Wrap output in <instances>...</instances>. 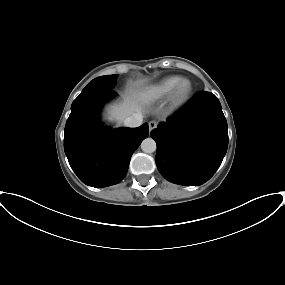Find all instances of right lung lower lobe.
Returning a JSON list of instances; mask_svg holds the SVG:
<instances>
[{
  "instance_id": "98d812e1",
  "label": "right lung lower lobe",
  "mask_w": 285,
  "mask_h": 285,
  "mask_svg": "<svg viewBox=\"0 0 285 285\" xmlns=\"http://www.w3.org/2000/svg\"><path fill=\"white\" fill-rule=\"evenodd\" d=\"M117 93L102 91L84 97L66 122L64 150L69 164L86 185L107 187L122 181L130 158L148 137V124L138 128L111 129L100 120L102 105Z\"/></svg>"
}]
</instances>
